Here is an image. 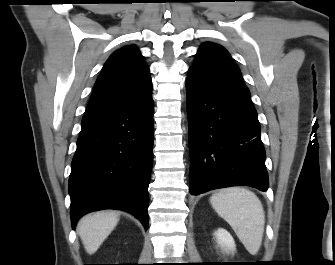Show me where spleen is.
<instances>
[{"mask_svg":"<svg viewBox=\"0 0 335 265\" xmlns=\"http://www.w3.org/2000/svg\"><path fill=\"white\" fill-rule=\"evenodd\" d=\"M210 203L220 217L226 220L246 250L256 255L264 233L265 213L259 198L243 187L219 190L210 197Z\"/></svg>","mask_w":335,"mask_h":265,"instance_id":"spleen-1","label":"spleen"}]
</instances>
